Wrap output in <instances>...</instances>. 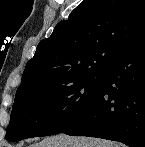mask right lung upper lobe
<instances>
[{
    "label": "right lung upper lobe",
    "mask_w": 145,
    "mask_h": 147,
    "mask_svg": "<svg viewBox=\"0 0 145 147\" xmlns=\"http://www.w3.org/2000/svg\"><path fill=\"white\" fill-rule=\"evenodd\" d=\"M143 35L144 0H83L40 41L16 94L54 90L80 76L101 73Z\"/></svg>",
    "instance_id": "cb5924a9"
}]
</instances>
